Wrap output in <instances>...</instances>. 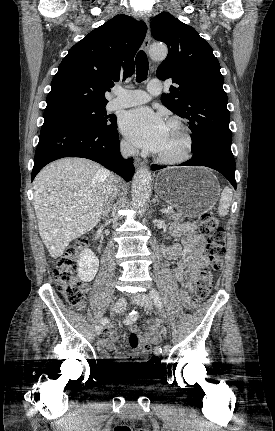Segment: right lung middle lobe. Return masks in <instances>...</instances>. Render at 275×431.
Returning <instances> with one entry per match:
<instances>
[{
	"mask_svg": "<svg viewBox=\"0 0 275 431\" xmlns=\"http://www.w3.org/2000/svg\"><path fill=\"white\" fill-rule=\"evenodd\" d=\"M106 105L84 106L44 113V122L72 121L94 128H111L116 122L114 115H107Z\"/></svg>",
	"mask_w": 275,
	"mask_h": 431,
	"instance_id": "dd1d6c3e",
	"label": "right lung middle lobe"
}]
</instances>
